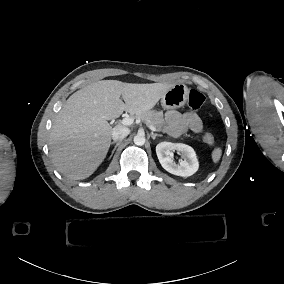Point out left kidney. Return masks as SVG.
<instances>
[{
    "label": "left kidney",
    "mask_w": 284,
    "mask_h": 284,
    "mask_svg": "<svg viewBox=\"0 0 284 284\" xmlns=\"http://www.w3.org/2000/svg\"><path fill=\"white\" fill-rule=\"evenodd\" d=\"M172 150H178L185 160L177 163L170 155ZM156 153L162 167L171 174L187 177L198 169L195 152L188 145L164 141L157 144Z\"/></svg>",
    "instance_id": "obj_1"
}]
</instances>
